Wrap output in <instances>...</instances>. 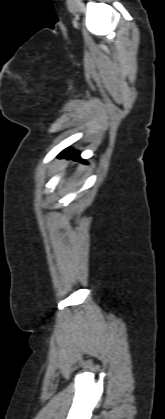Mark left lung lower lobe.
I'll use <instances>...</instances> for the list:
<instances>
[{
  "label": "left lung lower lobe",
  "mask_w": 165,
  "mask_h": 419,
  "mask_svg": "<svg viewBox=\"0 0 165 419\" xmlns=\"http://www.w3.org/2000/svg\"><path fill=\"white\" fill-rule=\"evenodd\" d=\"M60 157H66V158H73V159H76V160H81L80 157H79V153L77 151L70 150V149L66 150V151H63L60 154Z\"/></svg>",
  "instance_id": "obj_1"
}]
</instances>
